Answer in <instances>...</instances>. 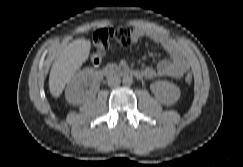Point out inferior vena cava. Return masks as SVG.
Instances as JSON below:
<instances>
[{"label": "inferior vena cava", "instance_id": "602c4592", "mask_svg": "<svg viewBox=\"0 0 243 167\" xmlns=\"http://www.w3.org/2000/svg\"><path fill=\"white\" fill-rule=\"evenodd\" d=\"M108 81V86L114 87V86H118L121 82L120 77L118 76H110L107 79Z\"/></svg>", "mask_w": 243, "mask_h": 167}]
</instances>
